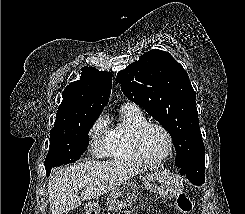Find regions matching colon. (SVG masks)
I'll list each match as a JSON object with an SVG mask.
<instances>
[{
	"label": "colon",
	"mask_w": 245,
	"mask_h": 214,
	"mask_svg": "<svg viewBox=\"0 0 245 214\" xmlns=\"http://www.w3.org/2000/svg\"><path fill=\"white\" fill-rule=\"evenodd\" d=\"M176 206L182 214H190L194 208L193 202L185 193L177 196Z\"/></svg>",
	"instance_id": "5ec220e1"
}]
</instances>
